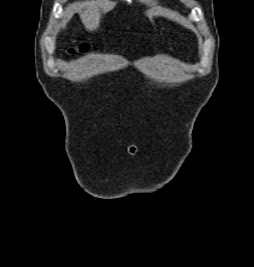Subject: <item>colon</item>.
Returning a JSON list of instances; mask_svg holds the SVG:
<instances>
[{"mask_svg": "<svg viewBox=\"0 0 254 267\" xmlns=\"http://www.w3.org/2000/svg\"><path fill=\"white\" fill-rule=\"evenodd\" d=\"M79 50L81 51V52H86L87 50H88V45L87 44H81L80 46H79ZM74 49H70L69 50V52L70 53H74Z\"/></svg>", "mask_w": 254, "mask_h": 267, "instance_id": "1", "label": "colon"}]
</instances>
